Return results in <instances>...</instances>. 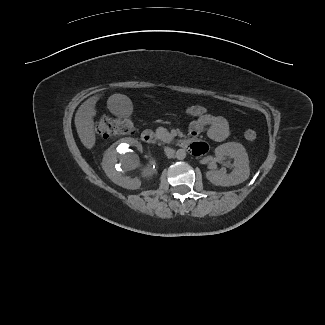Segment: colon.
I'll list each match as a JSON object with an SVG mask.
<instances>
[{
  "mask_svg": "<svg viewBox=\"0 0 325 325\" xmlns=\"http://www.w3.org/2000/svg\"><path fill=\"white\" fill-rule=\"evenodd\" d=\"M185 112L188 116L196 119L209 115L210 109L202 105H189L185 108ZM95 132L102 138H110L117 135L134 134L135 129L129 118L115 119L103 116L97 120ZM244 136L247 140L253 141L256 139L257 134L253 129H247Z\"/></svg>",
  "mask_w": 325,
  "mask_h": 325,
  "instance_id": "1",
  "label": "colon"
}]
</instances>
